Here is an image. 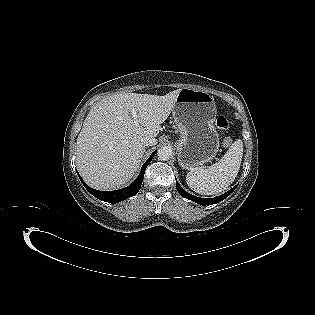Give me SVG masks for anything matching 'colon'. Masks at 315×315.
Masks as SVG:
<instances>
[{"label": "colon", "instance_id": "colon-1", "mask_svg": "<svg viewBox=\"0 0 315 315\" xmlns=\"http://www.w3.org/2000/svg\"><path fill=\"white\" fill-rule=\"evenodd\" d=\"M215 125L220 130H226L229 128V121L225 116L219 115L215 120ZM221 144L223 147L228 148L231 146L232 141L230 138L225 137L222 139Z\"/></svg>", "mask_w": 315, "mask_h": 315}]
</instances>
